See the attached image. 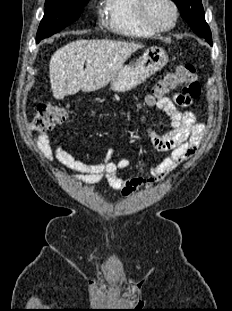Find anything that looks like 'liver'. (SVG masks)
Segmentation results:
<instances>
[{
  "label": "liver",
  "mask_w": 232,
  "mask_h": 311,
  "mask_svg": "<svg viewBox=\"0 0 232 311\" xmlns=\"http://www.w3.org/2000/svg\"><path fill=\"white\" fill-rule=\"evenodd\" d=\"M141 48V44L113 40H77L64 45L50 59L53 96L61 100L80 90L91 92L103 88L131 54Z\"/></svg>",
  "instance_id": "6515ba94"
}]
</instances>
